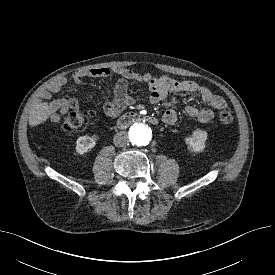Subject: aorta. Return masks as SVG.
Instances as JSON below:
<instances>
[{"label": "aorta", "instance_id": "aorta-1", "mask_svg": "<svg viewBox=\"0 0 275 275\" xmlns=\"http://www.w3.org/2000/svg\"><path fill=\"white\" fill-rule=\"evenodd\" d=\"M151 133V128L145 123H136L129 131L131 141L138 146L147 145L151 140Z\"/></svg>", "mask_w": 275, "mask_h": 275}]
</instances>
